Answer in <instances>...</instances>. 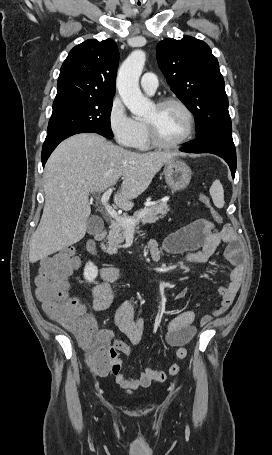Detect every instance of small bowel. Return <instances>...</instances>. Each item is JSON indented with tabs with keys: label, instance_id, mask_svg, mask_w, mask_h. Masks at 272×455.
<instances>
[{
	"label": "small bowel",
	"instance_id": "c3829d8e",
	"mask_svg": "<svg viewBox=\"0 0 272 455\" xmlns=\"http://www.w3.org/2000/svg\"><path fill=\"white\" fill-rule=\"evenodd\" d=\"M221 242L227 243L225 257L233 266L228 285L218 288L221 302L213 314L221 315L231 306L245 273L240 247L230 226L218 230L211 221L197 219L169 234L161 245L155 240H150L147 245L154 260H158L165 252L178 255L190 264H203L211 258ZM118 278L119 269L116 266H108L102 269L101 279L92 289L95 311H104L111 306L114 300L112 284ZM187 294L188 289L183 288L176 294L175 299L185 298ZM114 319L117 328L125 334L129 343L119 338L113 331L106 329L99 331L97 337L104 343L111 344L116 350L129 354L131 345H137L141 341L145 328L144 321L135 315L134 307L128 301L119 305ZM211 319V316L203 317L202 324H206ZM194 320L195 313L191 310H185L172 318L167 324L166 341L169 345L177 348L175 352L177 359H184L187 356L185 345L192 340L196 332ZM182 352H185L186 355H182ZM179 371L180 367L177 363H173L169 368L170 375H176ZM108 373L114 374L116 382L121 387L129 389L147 387L154 381L163 382L167 379L166 372L151 368L145 369L135 378L123 375L120 369L107 368L99 371L101 375Z\"/></svg>",
	"mask_w": 272,
	"mask_h": 455
}]
</instances>
